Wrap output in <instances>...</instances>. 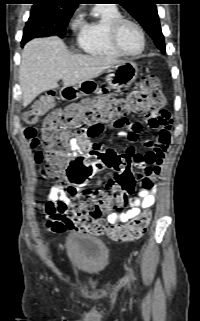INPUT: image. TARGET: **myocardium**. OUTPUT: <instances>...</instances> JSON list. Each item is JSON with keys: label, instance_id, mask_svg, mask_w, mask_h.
<instances>
[{"label": "myocardium", "instance_id": "1", "mask_svg": "<svg viewBox=\"0 0 200 321\" xmlns=\"http://www.w3.org/2000/svg\"><path fill=\"white\" fill-rule=\"evenodd\" d=\"M125 24H130V25L134 26L138 30L139 34L141 35L142 47L138 52H135V53L127 52L121 47V45L119 43V32H120L122 26ZM109 38H110V42H111V45L113 46V48L117 52H119L122 56L137 57V56L141 55L146 48L147 41H146V35H145L143 28L136 21L129 19V18L122 17V18H119L116 21H114L110 27Z\"/></svg>", "mask_w": 200, "mask_h": 321}]
</instances>
